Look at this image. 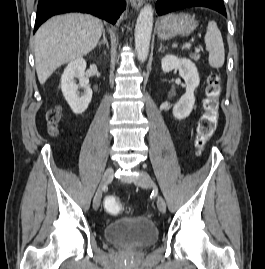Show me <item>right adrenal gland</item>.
<instances>
[{"label":"right adrenal gland","mask_w":265,"mask_h":269,"mask_svg":"<svg viewBox=\"0 0 265 269\" xmlns=\"http://www.w3.org/2000/svg\"><path fill=\"white\" fill-rule=\"evenodd\" d=\"M102 44H105L107 46V48H109V44L106 38V33L105 31H103V39L98 43L99 46H101Z\"/></svg>","instance_id":"obj_1"}]
</instances>
